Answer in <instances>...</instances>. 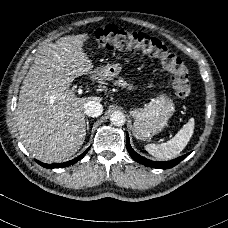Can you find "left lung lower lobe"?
<instances>
[{"label":"left lung lower lobe","mask_w":228,"mask_h":228,"mask_svg":"<svg viewBox=\"0 0 228 228\" xmlns=\"http://www.w3.org/2000/svg\"><path fill=\"white\" fill-rule=\"evenodd\" d=\"M126 146H127V150L130 154V156L138 163L143 164L145 166H149V167H153V168H160V169H169L174 167L175 165H177L178 163H180L184 158H186L190 153L180 156L174 160L171 161H166V162H159V161H151L149 159H146L142 156H140L138 153H136L131 145H130V141H129V135L127 133L126 135Z\"/></svg>","instance_id":"left-lung-lower-lobe-1"}]
</instances>
